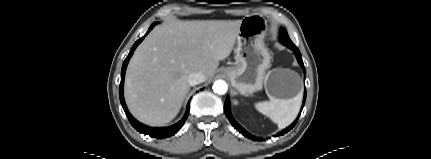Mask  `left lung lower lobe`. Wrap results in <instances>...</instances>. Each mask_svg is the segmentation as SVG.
Segmentation results:
<instances>
[{"mask_svg": "<svg viewBox=\"0 0 431 159\" xmlns=\"http://www.w3.org/2000/svg\"><path fill=\"white\" fill-rule=\"evenodd\" d=\"M287 47H289L290 49H292L294 52H295V54H296V57H297V59H298V62H299V64L302 66V68H303V71H304V77L306 76V70H305V67H304V63H303V61H302V57H301V53H300V51L298 50V48L296 47V46H287ZM305 100H306V91L304 92V99H303V105H302V108H301V111H302V109H303V106H304V104H305ZM224 112H225V115L227 116V118L229 119V121H230V123L232 124V126L237 130V131H239L240 133H242L245 137H249L250 139H253V140H258V141H261L262 139L261 138H256V137H254V136H252V135H250L249 133H247L234 119H233V117H232V115H231V113H230V103H229V98L227 97L226 98V100H225V104H224ZM301 113V112H300ZM299 116H300V114L298 115V117H297V119L294 121V123H292V125H290L289 127H287L286 129H284V130H282L281 132H279V133H277L276 135H274L275 137L276 136H280V135H283V134H285V133H287L288 131H290L294 126H295V124L297 123V121H298V118H299Z\"/></svg>", "mask_w": 431, "mask_h": 159, "instance_id": "0a47b994", "label": "left lung lower lobe"}]
</instances>
